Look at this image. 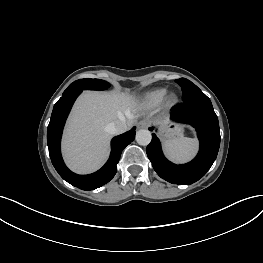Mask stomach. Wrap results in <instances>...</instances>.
<instances>
[{"label": "stomach", "mask_w": 263, "mask_h": 263, "mask_svg": "<svg viewBox=\"0 0 263 263\" xmlns=\"http://www.w3.org/2000/svg\"><path fill=\"white\" fill-rule=\"evenodd\" d=\"M164 138L166 140L181 137L184 133V126L180 124H172L164 130Z\"/></svg>", "instance_id": "stomach-1"}]
</instances>
